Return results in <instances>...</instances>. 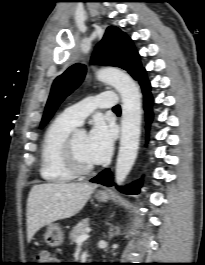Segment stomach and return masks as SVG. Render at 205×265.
<instances>
[{
  "label": "stomach",
  "instance_id": "1",
  "mask_svg": "<svg viewBox=\"0 0 205 265\" xmlns=\"http://www.w3.org/2000/svg\"><path fill=\"white\" fill-rule=\"evenodd\" d=\"M95 198L100 202H106L109 198L107 192H97ZM45 242L50 246H59L64 240V234L58 224H49L44 234Z\"/></svg>",
  "mask_w": 205,
  "mask_h": 265
}]
</instances>
